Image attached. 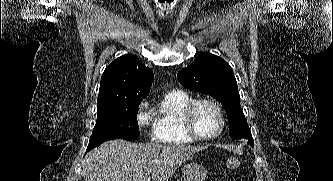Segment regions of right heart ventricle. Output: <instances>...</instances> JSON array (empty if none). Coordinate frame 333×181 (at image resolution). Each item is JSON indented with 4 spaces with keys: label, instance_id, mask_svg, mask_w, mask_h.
Wrapping results in <instances>:
<instances>
[{
    "label": "right heart ventricle",
    "instance_id": "1",
    "mask_svg": "<svg viewBox=\"0 0 333 181\" xmlns=\"http://www.w3.org/2000/svg\"><path fill=\"white\" fill-rule=\"evenodd\" d=\"M193 97L183 91H172L152 110L155 122L154 139L166 144H187L194 141L185 131L183 112Z\"/></svg>",
    "mask_w": 333,
    "mask_h": 181
}]
</instances>
